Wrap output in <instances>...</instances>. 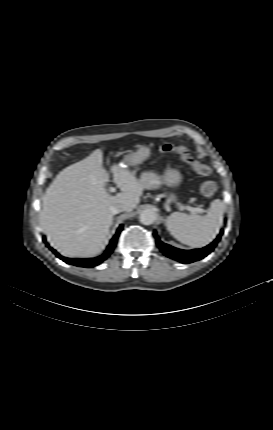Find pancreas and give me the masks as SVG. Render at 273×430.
Instances as JSON below:
<instances>
[{"label":"pancreas","instance_id":"obj_1","mask_svg":"<svg viewBox=\"0 0 273 430\" xmlns=\"http://www.w3.org/2000/svg\"><path fill=\"white\" fill-rule=\"evenodd\" d=\"M140 183L143 189H155L158 188L162 183V177L154 172H144L141 174Z\"/></svg>","mask_w":273,"mask_h":430}]
</instances>
